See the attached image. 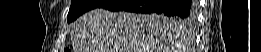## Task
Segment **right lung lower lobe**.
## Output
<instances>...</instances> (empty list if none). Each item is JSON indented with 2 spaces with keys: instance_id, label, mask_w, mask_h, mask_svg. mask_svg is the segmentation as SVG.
Returning <instances> with one entry per match:
<instances>
[{
  "instance_id": "98d812e1",
  "label": "right lung lower lobe",
  "mask_w": 261,
  "mask_h": 52,
  "mask_svg": "<svg viewBox=\"0 0 261 52\" xmlns=\"http://www.w3.org/2000/svg\"><path fill=\"white\" fill-rule=\"evenodd\" d=\"M99 8L110 11H128L190 19L194 14V3L189 0H108Z\"/></svg>"
}]
</instances>
